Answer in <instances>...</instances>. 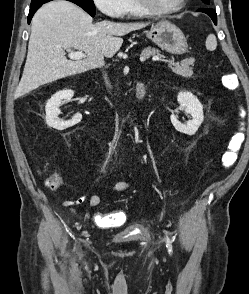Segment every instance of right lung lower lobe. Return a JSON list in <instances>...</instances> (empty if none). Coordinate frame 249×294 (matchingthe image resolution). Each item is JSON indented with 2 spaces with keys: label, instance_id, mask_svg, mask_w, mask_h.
<instances>
[{
  "label": "right lung lower lobe",
  "instance_id": "98d812e1",
  "mask_svg": "<svg viewBox=\"0 0 249 294\" xmlns=\"http://www.w3.org/2000/svg\"><path fill=\"white\" fill-rule=\"evenodd\" d=\"M42 6V4H38L35 6H30V11H29V15H28V23L31 22V19L34 15V13Z\"/></svg>",
  "mask_w": 249,
  "mask_h": 294
}]
</instances>
